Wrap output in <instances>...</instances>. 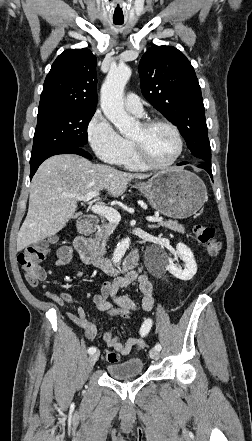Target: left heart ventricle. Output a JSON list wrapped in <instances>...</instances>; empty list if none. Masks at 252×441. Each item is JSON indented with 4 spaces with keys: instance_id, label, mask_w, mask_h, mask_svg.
<instances>
[{
    "instance_id": "b2bd125f",
    "label": "left heart ventricle",
    "mask_w": 252,
    "mask_h": 441,
    "mask_svg": "<svg viewBox=\"0 0 252 441\" xmlns=\"http://www.w3.org/2000/svg\"><path fill=\"white\" fill-rule=\"evenodd\" d=\"M144 148L149 159L155 163H165L177 152L178 143L174 133L166 126H155L144 130L139 125L131 136Z\"/></svg>"
}]
</instances>
